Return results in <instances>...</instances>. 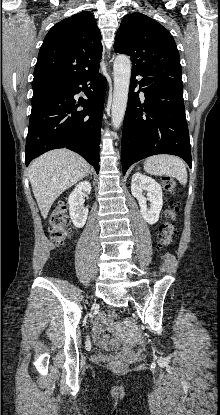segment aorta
I'll return each instance as SVG.
<instances>
[{
  "instance_id": "1",
  "label": "aorta",
  "mask_w": 220,
  "mask_h": 415,
  "mask_svg": "<svg viewBox=\"0 0 220 415\" xmlns=\"http://www.w3.org/2000/svg\"><path fill=\"white\" fill-rule=\"evenodd\" d=\"M114 92L112 102V125L118 129L124 119L131 77V61L126 55H118L114 61Z\"/></svg>"
}]
</instances>
